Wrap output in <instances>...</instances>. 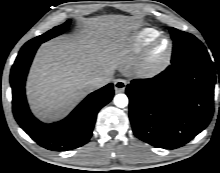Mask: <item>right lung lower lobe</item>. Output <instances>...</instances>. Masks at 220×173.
<instances>
[{
  "label": "right lung lower lobe",
  "mask_w": 220,
  "mask_h": 173,
  "mask_svg": "<svg viewBox=\"0 0 220 173\" xmlns=\"http://www.w3.org/2000/svg\"><path fill=\"white\" fill-rule=\"evenodd\" d=\"M39 45L40 43L25 44L11 69L15 119L37 144L46 149L61 151L78 148L89 141L98 111L113 98V84L91 93L60 122L44 124L38 121L28 108L24 86L29 66Z\"/></svg>",
  "instance_id": "98d812e1"
}]
</instances>
